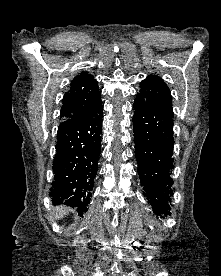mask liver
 Wrapping results in <instances>:
<instances>
[{
  "mask_svg": "<svg viewBox=\"0 0 221 276\" xmlns=\"http://www.w3.org/2000/svg\"><path fill=\"white\" fill-rule=\"evenodd\" d=\"M54 211L56 219H61L64 217V215H66L69 212V209L67 207L62 206L55 208Z\"/></svg>",
  "mask_w": 221,
  "mask_h": 276,
  "instance_id": "obj_1",
  "label": "liver"
}]
</instances>
